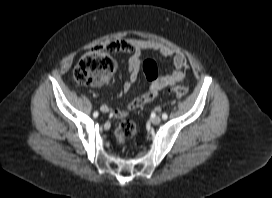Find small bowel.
Masks as SVG:
<instances>
[{"instance_id": "1", "label": "small bowel", "mask_w": 272, "mask_h": 198, "mask_svg": "<svg viewBox=\"0 0 272 198\" xmlns=\"http://www.w3.org/2000/svg\"><path fill=\"white\" fill-rule=\"evenodd\" d=\"M112 52H124L129 53L130 56L127 60L129 73L126 82L123 85V91L128 92L139 78L141 70V53L145 50L159 53L164 57L172 58L174 69L170 74L161 75H146L150 81L149 89L147 92L140 94L133 101H131L126 109H113L112 116L115 118H121L126 115L128 111L134 110L142 105L151 103L154 101L160 91L174 83L181 82L184 77L185 58L182 54L174 51L172 48L155 41H149L144 39H123L112 40L102 46Z\"/></svg>"}]
</instances>
